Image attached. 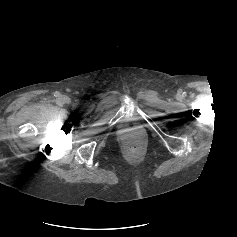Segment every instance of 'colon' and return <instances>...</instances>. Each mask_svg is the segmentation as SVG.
<instances>
[{"mask_svg": "<svg viewBox=\"0 0 237 237\" xmlns=\"http://www.w3.org/2000/svg\"><path fill=\"white\" fill-rule=\"evenodd\" d=\"M129 148H130V150H137L138 149V145H137L136 142H131L129 144Z\"/></svg>", "mask_w": 237, "mask_h": 237, "instance_id": "colon-1", "label": "colon"}]
</instances>
